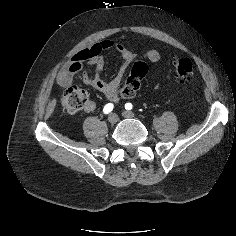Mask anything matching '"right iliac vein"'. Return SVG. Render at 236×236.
I'll return each instance as SVG.
<instances>
[{
  "label": "right iliac vein",
  "mask_w": 236,
  "mask_h": 236,
  "mask_svg": "<svg viewBox=\"0 0 236 236\" xmlns=\"http://www.w3.org/2000/svg\"><path fill=\"white\" fill-rule=\"evenodd\" d=\"M108 121L111 124H115L118 121V116L115 113H112L109 115Z\"/></svg>",
  "instance_id": "obj_1"
}]
</instances>
